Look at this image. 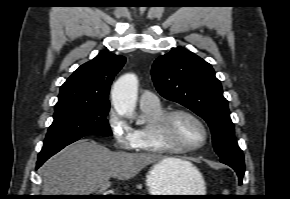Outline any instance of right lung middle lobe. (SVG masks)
<instances>
[{
    "instance_id": "right-lung-middle-lobe-1",
    "label": "right lung middle lobe",
    "mask_w": 290,
    "mask_h": 199,
    "mask_svg": "<svg viewBox=\"0 0 290 199\" xmlns=\"http://www.w3.org/2000/svg\"><path fill=\"white\" fill-rule=\"evenodd\" d=\"M110 105L75 104L55 108L41 152L63 148L86 135L111 136L106 119Z\"/></svg>"
}]
</instances>
